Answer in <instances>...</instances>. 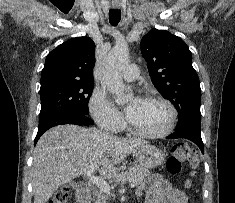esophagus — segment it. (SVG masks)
<instances>
[{"label":"esophagus","instance_id":"1","mask_svg":"<svg viewBox=\"0 0 235 203\" xmlns=\"http://www.w3.org/2000/svg\"><path fill=\"white\" fill-rule=\"evenodd\" d=\"M112 7H113L114 9H119V8H120V5H119L118 3H113V4H112Z\"/></svg>","mask_w":235,"mask_h":203}]
</instances>
